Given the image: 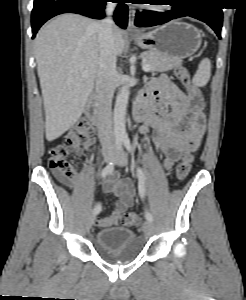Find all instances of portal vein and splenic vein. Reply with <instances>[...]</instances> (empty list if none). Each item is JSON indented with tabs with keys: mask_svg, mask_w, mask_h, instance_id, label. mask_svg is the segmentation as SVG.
<instances>
[{
	"mask_svg": "<svg viewBox=\"0 0 246 300\" xmlns=\"http://www.w3.org/2000/svg\"><path fill=\"white\" fill-rule=\"evenodd\" d=\"M142 68H143V70H144L145 72H149V71L151 70V67H150L149 64H143ZM82 75H83V76H86V75H87V71L82 72Z\"/></svg>",
	"mask_w": 246,
	"mask_h": 300,
	"instance_id": "1",
	"label": "portal vein and splenic vein"
}]
</instances>
